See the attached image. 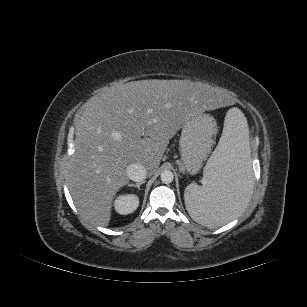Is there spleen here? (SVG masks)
<instances>
[{
    "label": "spleen",
    "instance_id": "1",
    "mask_svg": "<svg viewBox=\"0 0 307 307\" xmlns=\"http://www.w3.org/2000/svg\"><path fill=\"white\" fill-rule=\"evenodd\" d=\"M203 176L202 185L193 182L185 188L184 201L196 222L216 228L236 218L253 192L249 129L239 109L227 112L222 136Z\"/></svg>",
    "mask_w": 307,
    "mask_h": 307
}]
</instances>
